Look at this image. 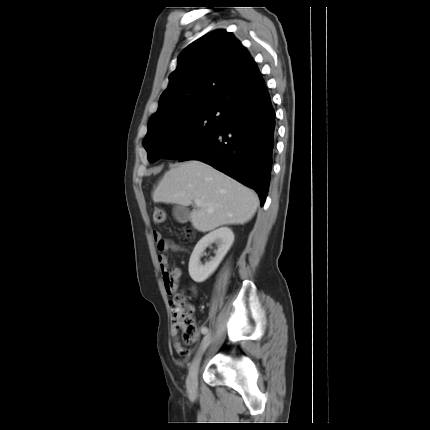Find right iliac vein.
I'll return each instance as SVG.
<instances>
[{"instance_id":"right-iliac-vein-1","label":"right iliac vein","mask_w":430,"mask_h":430,"mask_svg":"<svg viewBox=\"0 0 430 430\" xmlns=\"http://www.w3.org/2000/svg\"><path fill=\"white\" fill-rule=\"evenodd\" d=\"M212 341V337L210 334H207L202 342L201 345L190 365L189 373L186 380L187 385V391L191 397H196L198 392V371L200 362L202 359L203 354L205 353L206 349L210 345Z\"/></svg>"}]
</instances>
